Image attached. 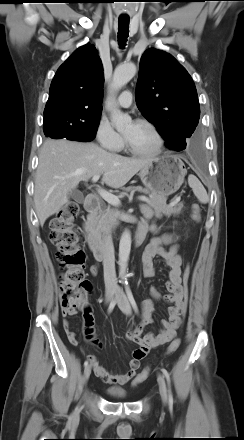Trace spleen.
<instances>
[{"mask_svg":"<svg viewBox=\"0 0 244 440\" xmlns=\"http://www.w3.org/2000/svg\"><path fill=\"white\" fill-rule=\"evenodd\" d=\"M188 184L192 188L194 195L197 197L198 201L206 204L209 201V197L207 195V192L202 185V183L198 180V178L195 175H189L188 176Z\"/></svg>","mask_w":244,"mask_h":440,"instance_id":"spleen-1","label":"spleen"}]
</instances>
